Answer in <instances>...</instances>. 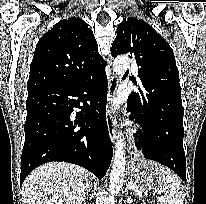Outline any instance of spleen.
Here are the masks:
<instances>
[{
	"label": "spleen",
	"mask_w": 206,
	"mask_h": 204,
	"mask_svg": "<svg viewBox=\"0 0 206 204\" xmlns=\"http://www.w3.org/2000/svg\"><path fill=\"white\" fill-rule=\"evenodd\" d=\"M162 182L155 193L162 194L159 197L161 204H183V186L181 180L170 169L161 167Z\"/></svg>",
	"instance_id": "3e777b00"
}]
</instances>
